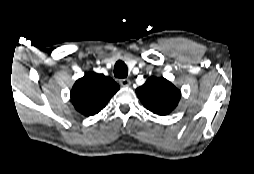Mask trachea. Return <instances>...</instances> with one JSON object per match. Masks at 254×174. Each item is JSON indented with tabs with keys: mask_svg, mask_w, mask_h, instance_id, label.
Here are the masks:
<instances>
[{
	"mask_svg": "<svg viewBox=\"0 0 254 174\" xmlns=\"http://www.w3.org/2000/svg\"><path fill=\"white\" fill-rule=\"evenodd\" d=\"M128 75L127 66L124 62L118 61L114 67V76L117 78H126Z\"/></svg>",
	"mask_w": 254,
	"mask_h": 174,
	"instance_id": "obj_1",
	"label": "trachea"
}]
</instances>
